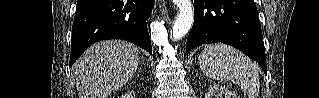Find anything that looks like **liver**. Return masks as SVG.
<instances>
[{"mask_svg": "<svg viewBox=\"0 0 319 98\" xmlns=\"http://www.w3.org/2000/svg\"><path fill=\"white\" fill-rule=\"evenodd\" d=\"M138 48L121 40L98 42L74 64L79 98H108L125 85L139 64Z\"/></svg>", "mask_w": 319, "mask_h": 98, "instance_id": "obj_1", "label": "liver"}]
</instances>
